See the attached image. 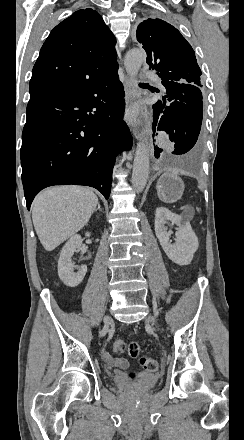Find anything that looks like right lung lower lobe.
Segmentation results:
<instances>
[{"label":"right lung lower lobe","mask_w":244,"mask_h":440,"mask_svg":"<svg viewBox=\"0 0 244 440\" xmlns=\"http://www.w3.org/2000/svg\"><path fill=\"white\" fill-rule=\"evenodd\" d=\"M123 96L117 70L30 95L20 151L28 210L38 192L52 185L92 186L109 198L115 155L132 145L121 120Z\"/></svg>","instance_id":"obj_1"}]
</instances>
